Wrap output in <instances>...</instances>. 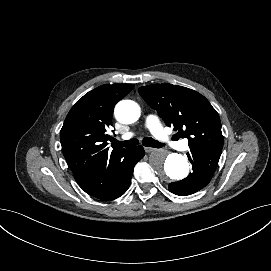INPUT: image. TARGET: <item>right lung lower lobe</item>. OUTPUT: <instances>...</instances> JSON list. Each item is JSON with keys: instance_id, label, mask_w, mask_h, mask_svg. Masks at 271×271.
<instances>
[{"instance_id": "right-lung-lower-lobe-1", "label": "right lung lower lobe", "mask_w": 271, "mask_h": 271, "mask_svg": "<svg viewBox=\"0 0 271 271\" xmlns=\"http://www.w3.org/2000/svg\"><path fill=\"white\" fill-rule=\"evenodd\" d=\"M145 155L142 146L120 149L101 159L96 166L76 179L89 195L101 200H113L130 186L135 164Z\"/></svg>"}]
</instances>
